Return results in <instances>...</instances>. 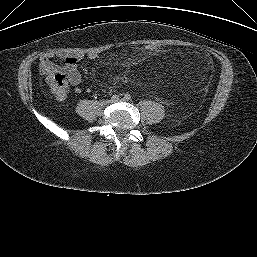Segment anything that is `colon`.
I'll list each match as a JSON object with an SVG mask.
<instances>
[{
    "mask_svg": "<svg viewBox=\"0 0 257 257\" xmlns=\"http://www.w3.org/2000/svg\"><path fill=\"white\" fill-rule=\"evenodd\" d=\"M146 51L155 53L160 50L156 44H148L145 46ZM50 90L59 98L64 97L68 92L67 75L58 69L48 68L43 72Z\"/></svg>",
    "mask_w": 257,
    "mask_h": 257,
    "instance_id": "colon-1",
    "label": "colon"
}]
</instances>
